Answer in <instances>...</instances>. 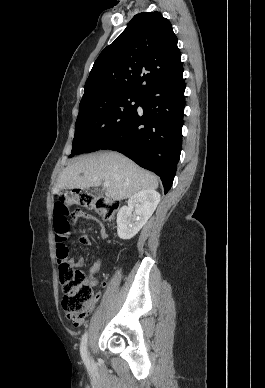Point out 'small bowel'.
Wrapping results in <instances>:
<instances>
[{
  "mask_svg": "<svg viewBox=\"0 0 265 388\" xmlns=\"http://www.w3.org/2000/svg\"><path fill=\"white\" fill-rule=\"evenodd\" d=\"M72 219L73 220H77L78 218H85V219H88V220H94L95 218L93 217V215H91L90 213H87L85 211H81V210H77L75 212L72 213ZM99 236L100 238L102 239H105L107 237V232L104 228H101L99 230ZM80 242L85 245V246H92L93 245V239L90 237V236H87V235H84V236H81L80 237ZM68 263L72 266V267H80V266H83L84 265V259L83 258H71L68 260ZM102 266V260L101 259H97L90 267L89 269V273H88V278H87V283L90 287H94L97 285V278H96V274L99 272L100 268ZM106 287V283L103 282L102 283V288L100 289V291L96 294L94 300L91 302V304L88 306L87 308V311H86V315L89 314L91 312V310L93 309L94 307V304L95 302L101 297L102 293H103V290L105 289ZM82 320H80V322H78L77 324H75L76 326L78 325H81L82 324Z\"/></svg>",
  "mask_w": 265,
  "mask_h": 388,
  "instance_id": "small-bowel-1",
  "label": "small bowel"
}]
</instances>
